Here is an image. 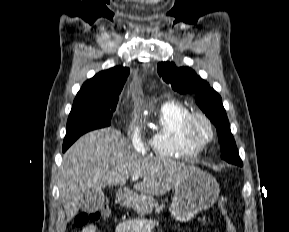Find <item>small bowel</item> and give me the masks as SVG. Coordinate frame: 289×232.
I'll return each mask as SVG.
<instances>
[{"label":"small bowel","mask_w":289,"mask_h":232,"mask_svg":"<svg viewBox=\"0 0 289 232\" xmlns=\"http://www.w3.org/2000/svg\"><path fill=\"white\" fill-rule=\"evenodd\" d=\"M159 226L156 221L142 222L130 220L120 223L115 232H153ZM81 232H99L95 225H87Z\"/></svg>","instance_id":"obj_1"}]
</instances>
